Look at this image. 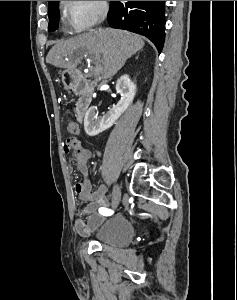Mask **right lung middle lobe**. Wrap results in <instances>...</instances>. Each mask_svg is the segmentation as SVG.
<instances>
[{
	"label": "right lung middle lobe",
	"mask_w": 237,
	"mask_h": 300,
	"mask_svg": "<svg viewBox=\"0 0 237 300\" xmlns=\"http://www.w3.org/2000/svg\"><path fill=\"white\" fill-rule=\"evenodd\" d=\"M59 1H51L48 3L49 25L48 30L54 31L58 28L59 21Z\"/></svg>",
	"instance_id": "right-lung-middle-lobe-1"
}]
</instances>
